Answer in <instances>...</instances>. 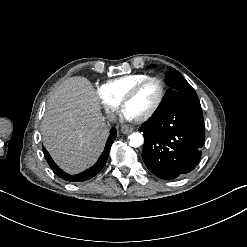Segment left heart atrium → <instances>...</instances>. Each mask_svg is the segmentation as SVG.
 <instances>
[{
	"instance_id": "39dd6f15",
	"label": "left heart atrium",
	"mask_w": 247,
	"mask_h": 247,
	"mask_svg": "<svg viewBox=\"0 0 247 247\" xmlns=\"http://www.w3.org/2000/svg\"><path fill=\"white\" fill-rule=\"evenodd\" d=\"M122 114H123V117L126 120H134V119H136V116L128 109H124Z\"/></svg>"
}]
</instances>
